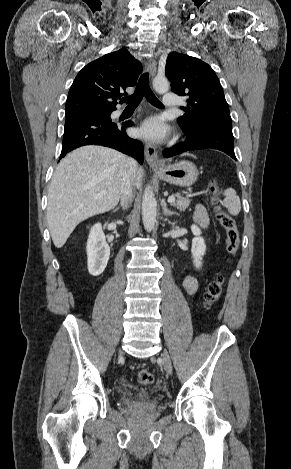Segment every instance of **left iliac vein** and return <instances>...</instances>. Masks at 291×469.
I'll list each match as a JSON object with an SVG mask.
<instances>
[{"instance_id":"4c4485c4","label":"left iliac vein","mask_w":291,"mask_h":469,"mask_svg":"<svg viewBox=\"0 0 291 469\" xmlns=\"http://www.w3.org/2000/svg\"><path fill=\"white\" fill-rule=\"evenodd\" d=\"M161 358H162V363H163L164 369L166 370V372L168 374H171L172 373V364H171V360H170V357H169L168 353L166 351H164L161 355Z\"/></svg>"}]
</instances>
